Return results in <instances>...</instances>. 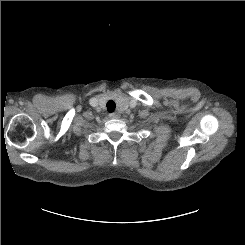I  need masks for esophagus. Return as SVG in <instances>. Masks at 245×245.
I'll return each instance as SVG.
<instances>
[{"label":"esophagus","mask_w":245,"mask_h":245,"mask_svg":"<svg viewBox=\"0 0 245 245\" xmlns=\"http://www.w3.org/2000/svg\"><path fill=\"white\" fill-rule=\"evenodd\" d=\"M109 117L111 119H117V118H119V114L118 113H111V114H109Z\"/></svg>","instance_id":"1"}]
</instances>
